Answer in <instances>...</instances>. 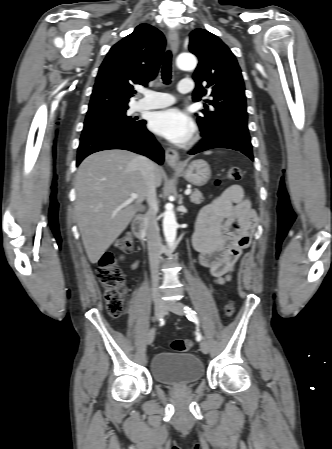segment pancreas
<instances>
[{
	"instance_id": "cf45deb5",
	"label": "pancreas",
	"mask_w": 332,
	"mask_h": 449,
	"mask_svg": "<svg viewBox=\"0 0 332 449\" xmlns=\"http://www.w3.org/2000/svg\"><path fill=\"white\" fill-rule=\"evenodd\" d=\"M203 199V195L199 190H194L190 196V201L194 204H201Z\"/></svg>"
}]
</instances>
